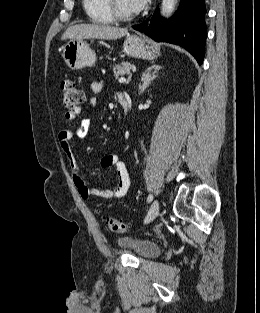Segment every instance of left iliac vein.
I'll use <instances>...</instances> for the list:
<instances>
[{
    "mask_svg": "<svg viewBox=\"0 0 260 313\" xmlns=\"http://www.w3.org/2000/svg\"><path fill=\"white\" fill-rule=\"evenodd\" d=\"M158 212H159V201L155 200L151 204L149 211L145 217V220H144L145 224L153 221L156 218V216L158 215Z\"/></svg>",
    "mask_w": 260,
    "mask_h": 313,
    "instance_id": "4c4485c4",
    "label": "left iliac vein"
}]
</instances>
